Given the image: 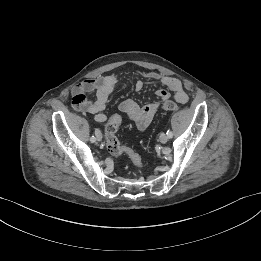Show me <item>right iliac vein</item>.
I'll return each mask as SVG.
<instances>
[{"mask_svg": "<svg viewBox=\"0 0 261 261\" xmlns=\"http://www.w3.org/2000/svg\"><path fill=\"white\" fill-rule=\"evenodd\" d=\"M95 134H96V140H97V141H101V140H102V134H101V132H100L99 130H97V131L95 132Z\"/></svg>", "mask_w": 261, "mask_h": 261, "instance_id": "obj_1", "label": "right iliac vein"}]
</instances>
